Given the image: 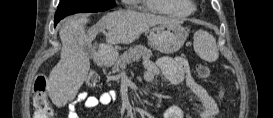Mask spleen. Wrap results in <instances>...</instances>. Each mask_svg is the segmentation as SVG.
Instances as JSON below:
<instances>
[{
	"instance_id": "spleen-1",
	"label": "spleen",
	"mask_w": 273,
	"mask_h": 118,
	"mask_svg": "<svg viewBox=\"0 0 273 118\" xmlns=\"http://www.w3.org/2000/svg\"><path fill=\"white\" fill-rule=\"evenodd\" d=\"M194 50L201 59L207 62H215L219 57L215 38L204 30L195 32Z\"/></svg>"
}]
</instances>
